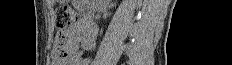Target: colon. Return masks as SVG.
<instances>
[{"mask_svg": "<svg viewBox=\"0 0 232 65\" xmlns=\"http://www.w3.org/2000/svg\"><path fill=\"white\" fill-rule=\"evenodd\" d=\"M78 20V13L70 6H62L56 10L55 26L59 33L75 25ZM64 42V38L58 35L56 39V48L60 58H65L68 55L64 47Z\"/></svg>", "mask_w": 232, "mask_h": 65, "instance_id": "1", "label": "colon"}]
</instances>
